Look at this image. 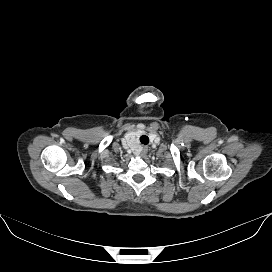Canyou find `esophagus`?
Returning a JSON list of instances; mask_svg holds the SVG:
<instances>
[{
    "label": "esophagus",
    "mask_w": 272,
    "mask_h": 272,
    "mask_svg": "<svg viewBox=\"0 0 272 272\" xmlns=\"http://www.w3.org/2000/svg\"><path fill=\"white\" fill-rule=\"evenodd\" d=\"M147 152V148L146 147H143L142 148V154H145Z\"/></svg>",
    "instance_id": "1"
}]
</instances>
